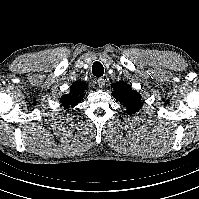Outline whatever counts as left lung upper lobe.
Instances as JSON below:
<instances>
[{
  "instance_id": "1",
  "label": "left lung upper lobe",
  "mask_w": 199,
  "mask_h": 199,
  "mask_svg": "<svg viewBox=\"0 0 199 199\" xmlns=\"http://www.w3.org/2000/svg\"><path fill=\"white\" fill-rule=\"evenodd\" d=\"M112 88L114 90V97L126 106L127 113H135L141 108V95L134 91L127 83L123 81L116 82L112 84Z\"/></svg>"
}]
</instances>
